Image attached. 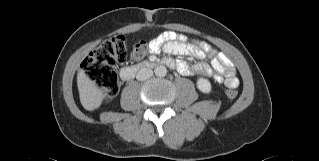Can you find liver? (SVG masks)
I'll return each instance as SVG.
<instances>
[{"mask_svg": "<svg viewBox=\"0 0 319 161\" xmlns=\"http://www.w3.org/2000/svg\"><path fill=\"white\" fill-rule=\"evenodd\" d=\"M77 86L80 102L86 110L92 111L101 105L104 98L103 92L83 69L78 70Z\"/></svg>", "mask_w": 319, "mask_h": 161, "instance_id": "6515ba94", "label": "liver"}]
</instances>
